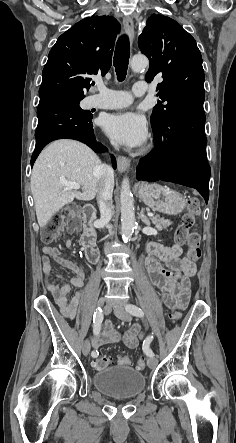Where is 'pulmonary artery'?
I'll use <instances>...</instances> for the list:
<instances>
[{"label": "pulmonary artery", "instance_id": "pulmonary-artery-1", "mask_svg": "<svg viewBox=\"0 0 236 443\" xmlns=\"http://www.w3.org/2000/svg\"><path fill=\"white\" fill-rule=\"evenodd\" d=\"M97 94L89 96L87 99L88 108H100V109H117L123 108L131 104L133 96H142L147 92L148 86L146 82L138 81L132 87V94L127 91H116L107 88L102 82L96 83ZM102 94L112 95L115 97L113 100L103 101L99 99Z\"/></svg>", "mask_w": 236, "mask_h": 443}]
</instances>
